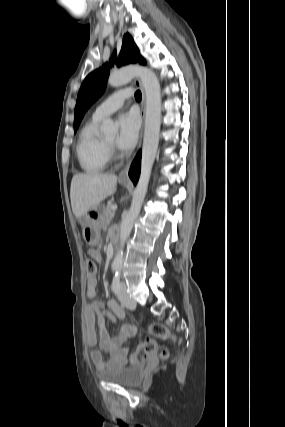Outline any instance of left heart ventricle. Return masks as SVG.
Listing matches in <instances>:
<instances>
[{"mask_svg": "<svg viewBox=\"0 0 285 427\" xmlns=\"http://www.w3.org/2000/svg\"><path fill=\"white\" fill-rule=\"evenodd\" d=\"M106 141H108L109 143L114 144L115 141H116V137L115 136L109 137V138L106 139Z\"/></svg>", "mask_w": 285, "mask_h": 427, "instance_id": "left-heart-ventricle-1", "label": "left heart ventricle"}]
</instances>
